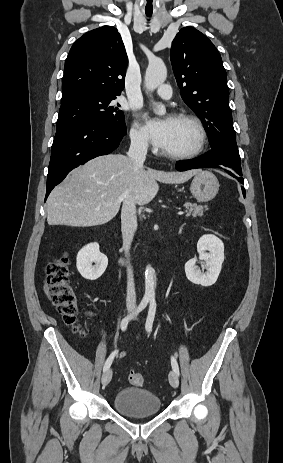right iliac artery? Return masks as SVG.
<instances>
[{
    "label": "right iliac artery",
    "instance_id": "82829eb1",
    "mask_svg": "<svg viewBox=\"0 0 283 463\" xmlns=\"http://www.w3.org/2000/svg\"><path fill=\"white\" fill-rule=\"evenodd\" d=\"M149 300L148 299H142V301L140 302L139 306L136 308V310L126 316L122 321H121V324H120V327L122 329V331H125L127 326H128V323L129 321L131 320V318L134 316V315H137L138 313H140L141 311H143L147 304H148ZM118 353V350H115L114 352H112L110 354V356L108 357V359L106 360L105 364H104V367H103V371L105 372L106 370H108L113 362V359L115 357V355Z\"/></svg>",
    "mask_w": 283,
    "mask_h": 463
}]
</instances>
